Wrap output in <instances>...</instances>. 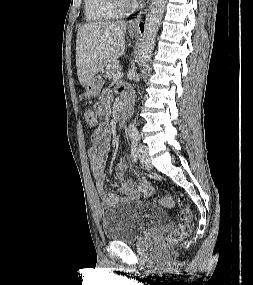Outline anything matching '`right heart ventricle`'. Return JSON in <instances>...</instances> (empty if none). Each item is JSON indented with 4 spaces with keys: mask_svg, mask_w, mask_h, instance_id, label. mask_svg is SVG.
<instances>
[{
    "mask_svg": "<svg viewBox=\"0 0 253 285\" xmlns=\"http://www.w3.org/2000/svg\"><path fill=\"white\" fill-rule=\"evenodd\" d=\"M84 13L86 20L90 22L108 21L120 15L111 0H84Z\"/></svg>",
    "mask_w": 253,
    "mask_h": 285,
    "instance_id": "obj_1",
    "label": "right heart ventricle"
}]
</instances>
